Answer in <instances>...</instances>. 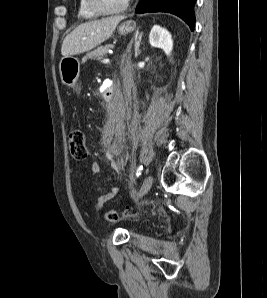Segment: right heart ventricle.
Masks as SVG:
<instances>
[{
    "label": "right heart ventricle",
    "mask_w": 267,
    "mask_h": 298,
    "mask_svg": "<svg viewBox=\"0 0 267 298\" xmlns=\"http://www.w3.org/2000/svg\"><path fill=\"white\" fill-rule=\"evenodd\" d=\"M78 16L85 20H93L98 17L97 14L88 8L86 0L78 1Z\"/></svg>",
    "instance_id": "1"
}]
</instances>
